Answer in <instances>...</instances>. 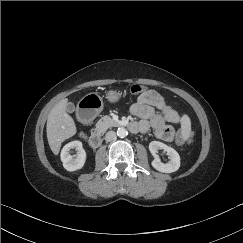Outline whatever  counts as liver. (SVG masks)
I'll return each instance as SVG.
<instances>
[{"label":"liver","mask_w":243,"mask_h":243,"mask_svg":"<svg viewBox=\"0 0 243 243\" xmlns=\"http://www.w3.org/2000/svg\"><path fill=\"white\" fill-rule=\"evenodd\" d=\"M67 103V98L60 100L50 111L47 119V140L55 155H58L61 143L77 132L73 118L66 112Z\"/></svg>","instance_id":"obj_1"}]
</instances>
